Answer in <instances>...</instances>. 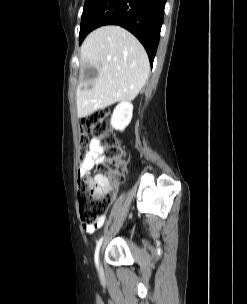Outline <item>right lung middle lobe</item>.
<instances>
[{
	"label": "right lung middle lobe",
	"mask_w": 247,
	"mask_h": 304,
	"mask_svg": "<svg viewBox=\"0 0 247 304\" xmlns=\"http://www.w3.org/2000/svg\"><path fill=\"white\" fill-rule=\"evenodd\" d=\"M100 0H85L84 9L82 13V20L92 11L94 6L99 2ZM83 29L80 27V34L79 39L83 36Z\"/></svg>",
	"instance_id": "right-lung-middle-lobe-1"
}]
</instances>
